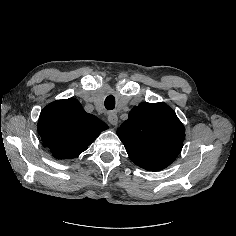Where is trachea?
Returning a JSON list of instances; mask_svg holds the SVG:
<instances>
[{
  "mask_svg": "<svg viewBox=\"0 0 236 236\" xmlns=\"http://www.w3.org/2000/svg\"><path fill=\"white\" fill-rule=\"evenodd\" d=\"M105 108L107 110H112L115 107V98L113 95H109L104 102Z\"/></svg>",
  "mask_w": 236,
  "mask_h": 236,
  "instance_id": "1",
  "label": "trachea"
}]
</instances>
